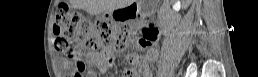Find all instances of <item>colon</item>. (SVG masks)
Instances as JSON below:
<instances>
[{
  "label": "colon",
  "mask_w": 258,
  "mask_h": 77,
  "mask_svg": "<svg viewBox=\"0 0 258 77\" xmlns=\"http://www.w3.org/2000/svg\"><path fill=\"white\" fill-rule=\"evenodd\" d=\"M53 32L58 47L71 60L80 49L90 50L104 46L122 49L130 42L134 47L144 50L149 47L151 38L155 35L153 28H143L135 33L124 22L102 21L92 24L67 6L56 8ZM76 73H79L78 69Z\"/></svg>",
  "instance_id": "5ec220e1"
}]
</instances>
